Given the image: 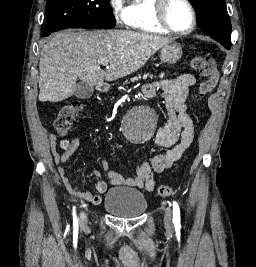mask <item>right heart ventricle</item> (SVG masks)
<instances>
[{"mask_svg": "<svg viewBox=\"0 0 256 267\" xmlns=\"http://www.w3.org/2000/svg\"><path fill=\"white\" fill-rule=\"evenodd\" d=\"M133 7L135 18L140 23L134 27L141 28V31L144 32L143 36H166L170 34L156 23L158 0H137Z\"/></svg>", "mask_w": 256, "mask_h": 267, "instance_id": "right-heart-ventricle-1", "label": "right heart ventricle"}]
</instances>
